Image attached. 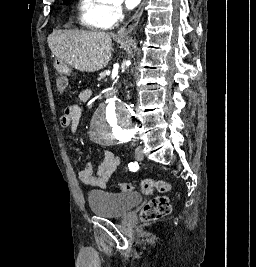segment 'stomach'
Wrapping results in <instances>:
<instances>
[{
    "mask_svg": "<svg viewBox=\"0 0 256 267\" xmlns=\"http://www.w3.org/2000/svg\"><path fill=\"white\" fill-rule=\"evenodd\" d=\"M55 67H68V62H55Z\"/></svg>",
    "mask_w": 256,
    "mask_h": 267,
    "instance_id": "stomach-1",
    "label": "stomach"
}]
</instances>
